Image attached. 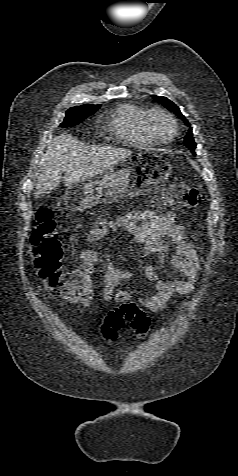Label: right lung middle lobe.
<instances>
[{
	"instance_id": "dd1d6c3e",
	"label": "right lung middle lobe",
	"mask_w": 238,
	"mask_h": 476,
	"mask_svg": "<svg viewBox=\"0 0 238 476\" xmlns=\"http://www.w3.org/2000/svg\"><path fill=\"white\" fill-rule=\"evenodd\" d=\"M98 109L99 107H72L66 112V117L60 126L70 127L76 125Z\"/></svg>"
}]
</instances>
